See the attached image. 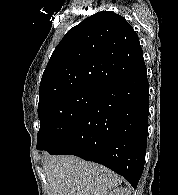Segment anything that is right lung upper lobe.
<instances>
[{
  "instance_id": "cb5924a9",
  "label": "right lung upper lobe",
  "mask_w": 178,
  "mask_h": 195,
  "mask_svg": "<svg viewBox=\"0 0 178 195\" xmlns=\"http://www.w3.org/2000/svg\"><path fill=\"white\" fill-rule=\"evenodd\" d=\"M143 67L131 25L114 12H98L71 28L55 48L42 75L39 103L74 90L99 91Z\"/></svg>"
}]
</instances>
